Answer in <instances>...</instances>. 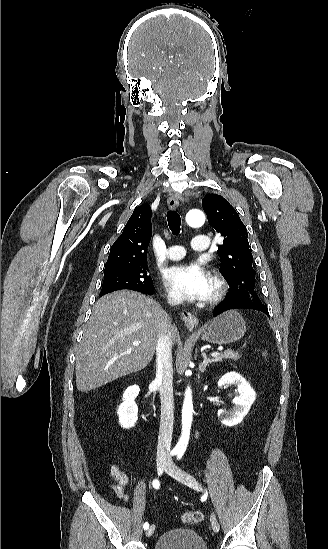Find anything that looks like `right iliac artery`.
<instances>
[{
	"label": "right iliac artery",
	"instance_id": "82829eb1",
	"mask_svg": "<svg viewBox=\"0 0 328 549\" xmlns=\"http://www.w3.org/2000/svg\"><path fill=\"white\" fill-rule=\"evenodd\" d=\"M172 455H173V454H172ZM152 485H153V487H154L155 489H159V487H160V482H159V480H157V479L153 480ZM143 528H144V530H147V529L149 528L148 522H146V523L143 525Z\"/></svg>",
	"mask_w": 328,
	"mask_h": 549
}]
</instances>
